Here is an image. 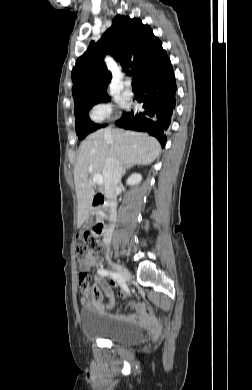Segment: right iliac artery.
Returning <instances> with one entry per match:
<instances>
[{
	"instance_id": "82829eb1",
	"label": "right iliac artery",
	"mask_w": 252,
	"mask_h": 390,
	"mask_svg": "<svg viewBox=\"0 0 252 390\" xmlns=\"http://www.w3.org/2000/svg\"><path fill=\"white\" fill-rule=\"evenodd\" d=\"M98 273L102 276H110L115 281H118L119 286L122 287L123 290H126V292H128V295H132V292H130V286L127 285L125 277L122 276L121 273H115V272L108 271V270L103 269V268L99 269Z\"/></svg>"
}]
</instances>
